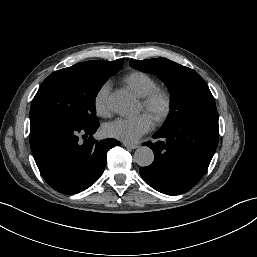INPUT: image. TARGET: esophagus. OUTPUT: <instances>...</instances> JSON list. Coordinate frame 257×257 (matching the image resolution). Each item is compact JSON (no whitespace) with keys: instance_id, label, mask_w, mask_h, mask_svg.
Here are the masks:
<instances>
[{"instance_id":"esophagus-1","label":"esophagus","mask_w":257,"mask_h":257,"mask_svg":"<svg viewBox=\"0 0 257 257\" xmlns=\"http://www.w3.org/2000/svg\"><path fill=\"white\" fill-rule=\"evenodd\" d=\"M123 146H125L126 148H129V149H136L139 147L138 144H130V143H123Z\"/></svg>"}]
</instances>
